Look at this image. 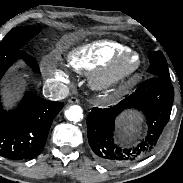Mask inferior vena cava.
I'll return each instance as SVG.
<instances>
[{
  "mask_svg": "<svg viewBox=\"0 0 183 183\" xmlns=\"http://www.w3.org/2000/svg\"><path fill=\"white\" fill-rule=\"evenodd\" d=\"M69 89L64 84H46L43 88V95L53 101L62 100L67 97Z\"/></svg>",
  "mask_w": 183,
  "mask_h": 183,
  "instance_id": "inferior-vena-cava-1",
  "label": "inferior vena cava"
}]
</instances>
